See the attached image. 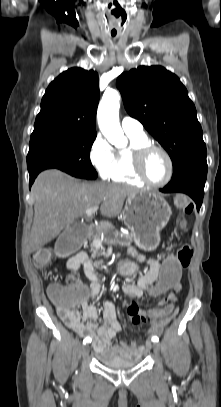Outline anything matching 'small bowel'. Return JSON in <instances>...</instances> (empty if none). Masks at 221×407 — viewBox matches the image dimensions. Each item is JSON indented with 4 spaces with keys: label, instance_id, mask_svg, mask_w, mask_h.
<instances>
[{
    "label": "small bowel",
    "instance_id": "small-bowel-1",
    "mask_svg": "<svg viewBox=\"0 0 221 407\" xmlns=\"http://www.w3.org/2000/svg\"><path fill=\"white\" fill-rule=\"evenodd\" d=\"M131 256L140 263H146L147 268L138 276L137 282H125L122 286V291L131 299L142 297L145 293L151 292V284L156 283L160 273V261L153 258H146L136 250L130 251ZM83 268L86 277L90 283L88 286L78 290V283L76 274L80 268ZM67 269L70 274L67 277V283L72 284L77 292L78 304L68 314H59L65 324L81 337H89L92 342L94 350L103 356L114 358L122 357L125 359L140 358L147 350V345L137 346L135 343L116 344L112 343L117 333L121 330L122 326L117 319L115 306L112 302H106L102 313V324L97 327L96 321L98 320V312L96 307L92 304L101 293L103 289V280L96 272L92 261L86 252H78L73 255L67 262ZM174 292H169L167 297H160L157 305L167 306L175 301L178 302V294L181 292V285L174 286ZM162 295L166 292H155ZM173 306V305H172ZM152 308L150 306L143 307L132 302L128 307V315L132 325H144L146 318L142 315L150 313ZM177 304L173 306V311L170 312L169 318H160L152 320V325L148 331L149 335H156L164 329L170 320L177 314Z\"/></svg>",
    "mask_w": 221,
    "mask_h": 407
}]
</instances>
